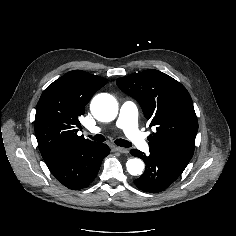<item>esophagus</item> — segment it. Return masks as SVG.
I'll list each match as a JSON object with an SVG mask.
<instances>
[{
    "label": "esophagus",
    "mask_w": 236,
    "mask_h": 236,
    "mask_svg": "<svg viewBox=\"0 0 236 236\" xmlns=\"http://www.w3.org/2000/svg\"><path fill=\"white\" fill-rule=\"evenodd\" d=\"M112 149H113V151L124 153V154H127L129 152L128 149L122 148V147H118V146H113Z\"/></svg>",
    "instance_id": "obj_1"
}]
</instances>
